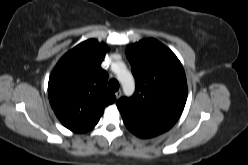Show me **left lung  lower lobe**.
<instances>
[{"label":"left lung lower lobe","instance_id":"obj_1","mask_svg":"<svg viewBox=\"0 0 248 165\" xmlns=\"http://www.w3.org/2000/svg\"><path fill=\"white\" fill-rule=\"evenodd\" d=\"M123 121H124L126 127L128 128V130H130L133 134H135L138 137L149 138V137H154V136L158 135V133H156V132L144 130V129H141L139 127L132 125L131 123H129L125 120H123Z\"/></svg>","mask_w":248,"mask_h":165}]
</instances>
